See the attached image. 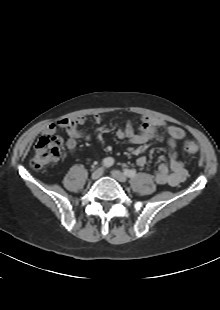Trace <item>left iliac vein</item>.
Wrapping results in <instances>:
<instances>
[{
	"mask_svg": "<svg viewBox=\"0 0 220 310\" xmlns=\"http://www.w3.org/2000/svg\"><path fill=\"white\" fill-rule=\"evenodd\" d=\"M111 175L114 179H116L119 182H126L127 177L124 173L120 172L119 170H113L111 172Z\"/></svg>",
	"mask_w": 220,
	"mask_h": 310,
	"instance_id": "1",
	"label": "left iliac vein"
}]
</instances>
